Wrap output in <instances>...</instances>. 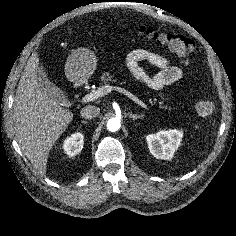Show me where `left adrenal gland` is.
I'll return each mask as SVG.
<instances>
[{
  "instance_id": "a2214340",
  "label": "left adrenal gland",
  "mask_w": 236,
  "mask_h": 236,
  "mask_svg": "<svg viewBox=\"0 0 236 236\" xmlns=\"http://www.w3.org/2000/svg\"><path fill=\"white\" fill-rule=\"evenodd\" d=\"M129 118H132V120H137V119H142L144 115H137V114H132V112H128L127 114Z\"/></svg>"
}]
</instances>
